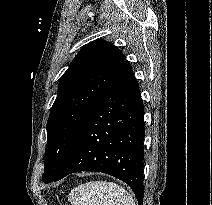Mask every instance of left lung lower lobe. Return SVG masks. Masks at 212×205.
<instances>
[{"label": "left lung lower lobe", "mask_w": 212, "mask_h": 205, "mask_svg": "<svg viewBox=\"0 0 212 205\" xmlns=\"http://www.w3.org/2000/svg\"><path fill=\"white\" fill-rule=\"evenodd\" d=\"M144 107L133 70L123 60L110 85L86 117L54 181L97 171L127 183L142 205Z\"/></svg>", "instance_id": "0a47b994"}]
</instances>
